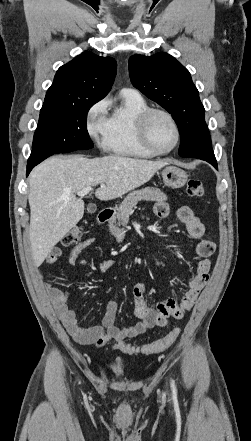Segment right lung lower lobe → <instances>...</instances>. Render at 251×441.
I'll return each instance as SVG.
<instances>
[{"label":"right lung lower lobe","instance_id":"right-lung-lower-lobe-1","mask_svg":"<svg viewBox=\"0 0 251 441\" xmlns=\"http://www.w3.org/2000/svg\"><path fill=\"white\" fill-rule=\"evenodd\" d=\"M51 153L32 152L27 163V176L34 166L42 162L47 157L51 156Z\"/></svg>","mask_w":251,"mask_h":441}]
</instances>
